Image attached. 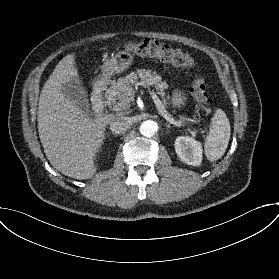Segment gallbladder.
I'll list each match as a JSON object with an SVG mask.
<instances>
[{
  "mask_svg": "<svg viewBox=\"0 0 279 279\" xmlns=\"http://www.w3.org/2000/svg\"><path fill=\"white\" fill-rule=\"evenodd\" d=\"M62 92L67 98L75 102L80 109L87 112L89 110L88 94L81 80L73 79L63 85Z\"/></svg>",
  "mask_w": 279,
  "mask_h": 279,
  "instance_id": "1",
  "label": "gallbladder"
}]
</instances>
